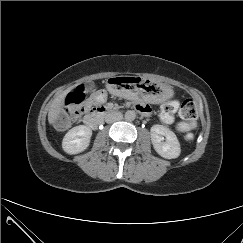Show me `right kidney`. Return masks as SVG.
I'll return each instance as SVG.
<instances>
[{"mask_svg":"<svg viewBox=\"0 0 243 243\" xmlns=\"http://www.w3.org/2000/svg\"><path fill=\"white\" fill-rule=\"evenodd\" d=\"M92 130L79 125L70 129L63 138L62 148L68 154H78L89 146Z\"/></svg>","mask_w":243,"mask_h":243,"instance_id":"obj_1","label":"right kidney"}]
</instances>
